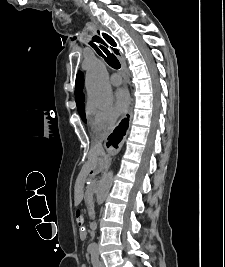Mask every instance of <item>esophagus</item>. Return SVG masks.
Here are the masks:
<instances>
[{
  "label": "esophagus",
  "instance_id": "34e87169",
  "mask_svg": "<svg viewBox=\"0 0 225 267\" xmlns=\"http://www.w3.org/2000/svg\"><path fill=\"white\" fill-rule=\"evenodd\" d=\"M100 35H101V37L106 41V39L109 41V37L108 36H110V34L109 33H107L106 31H104V30H101L100 31ZM111 37V36H110ZM112 38V37H111ZM107 42V41H106ZM118 57H119V60H120V62H121V65H122V69H123V71H124V74H125V80H126V83H128V72H127V68H126V64H125V62H124V60H123V58H122V56L121 55H118ZM128 114L131 116L132 115V107H130L129 108V110H128ZM109 153H111V154H113V151L112 150H109Z\"/></svg>",
  "mask_w": 225,
  "mask_h": 267
}]
</instances>
